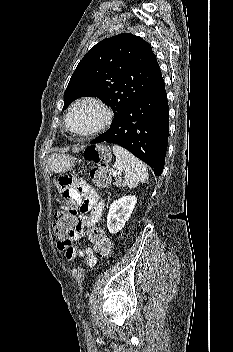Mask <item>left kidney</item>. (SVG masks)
<instances>
[{
  "instance_id": "5707ae66",
  "label": "left kidney",
  "mask_w": 233,
  "mask_h": 352,
  "mask_svg": "<svg viewBox=\"0 0 233 352\" xmlns=\"http://www.w3.org/2000/svg\"><path fill=\"white\" fill-rule=\"evenodd\" d=\"M136 202L137 198L135 196H124L110 205L107 228L111 234L123 229L135 208Z\"/></svg>"
}]
</instances>
